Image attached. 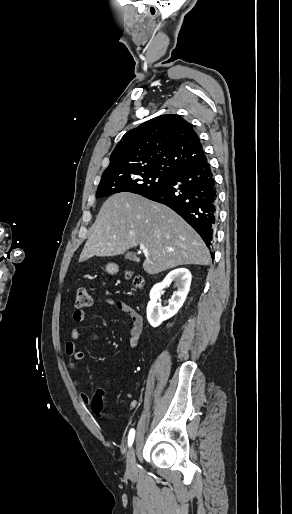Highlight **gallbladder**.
I'll return each instance as SVG.
<instances>
[{
	"label": "gallbladder",
	"instance_id": "bac80fb5",
	"mask_svg": "<svg viewBox=\"0 0 292 514\" xmlns=\"http://www.w3.org/2000/svg\"><path fill=\"white\" fill-rule=\"evenodd\" d=\"M130 258H132V260H137L135 254H130Z\"/></svg>",
	"mask_w": 292,
	"mask_h": 514
}]
</instances>
